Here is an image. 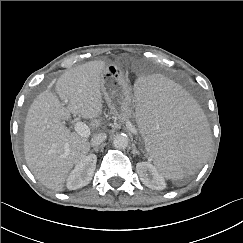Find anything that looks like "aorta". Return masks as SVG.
Segmentation results:
<instances>
[{
    "mask_svg": "<svg viewBox=\"0 0 243 243\" xmlns=\"http://www.w3.org/2000/svg\"><path fill=\"white\" fill-rule=\"evenodd\" d=\"M129 143V138L125 134L116 135L113 139V146L116 149H125Z\"/></svg>",
    "mask_w": 243,
    "mask_h": 243,
    "instance_id": "obj_1",
    "label": "aorta"
}]
</instances>
